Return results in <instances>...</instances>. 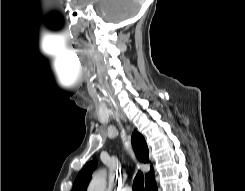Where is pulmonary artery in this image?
Returning <instances> with one entry per match:
<instances>
[{
  "mask_svg": "<svg viewBox=\"0 0 245 191\" xmlns=\"http://www.w3.org/2000/svg\"><path fill=\"white\" fill-rule=\"evenodd\" d=\"M123 191H132L130 187H126Z\"/></svg>",
  "mask_w": 245,
  "mask_h": 191,
  "instance_id": "obj_1",
  "label": "pulmonary artery"
}]
</instances>
